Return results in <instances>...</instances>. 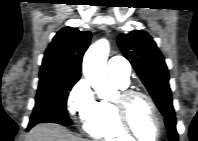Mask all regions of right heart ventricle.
Wrapping results in <instances>:
<instances>
[{
    "mask_svg": "<svg viewBox=\"0 0 198 141\" xmlns=\"http://www.w3.org/2000/svg\"><path fill=\"white\" fill-rule=\"evenodd\" d=\"M119 88L125 89L128 84L113 81ZM85 131L99 139L108 141H129L132 139L120 126L113 103L108 100L97 101L93 114L85 122Z\"/></svg>",
    "mask_w": 198,
    "mask_h": 141,
    "instance_id": "right-heart-ventricle-1",
    "label": "right heart ventricle"
}]
</instances>
